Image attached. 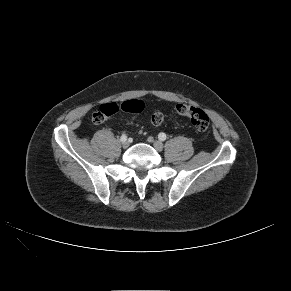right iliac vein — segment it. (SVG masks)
I'll return each mask as SVG.
<instances>
[{"label":"right iliac vein","instance_id":"obj_1","mask_svg":"<svg viewBox=\"0 0 291 291\" xmlns=\"http://www.w3.org/2000/svg\"><path fill=\"white\" fill-rule=\"evenodd\" d=\"M122 147L123 148H128L129 147V142L128 141L122 142Z\"/></svg>","mask_w":291,"mask_h":291}]
</instances>
